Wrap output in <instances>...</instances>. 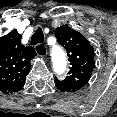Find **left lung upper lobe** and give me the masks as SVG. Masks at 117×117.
<instances>
[{
	"instance_id": "obj_1",
	"label": "left lung upper lobe",
	"mask_w": 117,
	"mask_h": 117,
	"mask_svg": "<svg viewBox=\"0 0 117 117\" xmlns=\"http://www.w3.org/2000/svg\"><path fill=\"white\" fill-rule=\"evenodd\" d=\"M58 42L66 49L71 67L65 80L55 78L56 87L62 92H75L83 88L92 75L94 49L83 35L68 25L56 29Z\"/></svg>"
}]
</instances>
